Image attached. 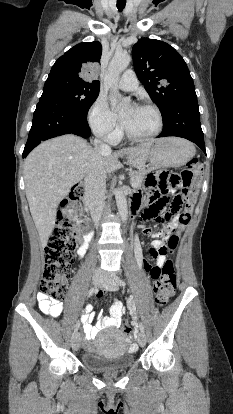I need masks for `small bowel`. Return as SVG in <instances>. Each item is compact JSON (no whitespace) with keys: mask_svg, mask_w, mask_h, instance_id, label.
Wrapping results in <instances>:
<instances>
[{"mask_svg":"<svg viewBox=\"0 0 233 414\" xmlns=\"http://www.w3.org/2000/svg\"><path fill=\"white\" fill-rule=\"evenodd\" d=\"M145 194H146L147 199L150 200L151 194L148 193L147 191L145 192ZM139 203H140V197L135 196V198H134L135 208H137L139 206ZM153 217L154 216H152L149 213L148 209H147L145 211V214H144V219H150V218H153ZM178 223H179V214H177L176 216L173 217L172 221L170 222V224L166 228V231H169L171 228L175 227ZM143 232L145 234L150 233V228L147 227V226H144L143 227ZM90 240H91V234L87 233V234L83 235V237L81 239V242H80V245H79V248H78L79 257L82 258L86 254V251H87L88 244H89ZM157 244H158V242L154 243L153 247L149 250L150 255L153 256ZM156 258H157L156 267L159 268L165 262V255L160 254ZM137 262H138V266H139L140 269H145L148 272H149L150 268L152 267L149 264V262L142 257L140 251L137 253ZM98 296H102V292L98 293ZM37 300H38L39 309L44 314H46L48 316H51V317H58L62 314L63 304L59 300L53 299L50 296H48V295H46L45 293H42V292L37 295ZM134 303H135L134 298H132V297H130L127 301L128 309H129L131 314H133L134 310H136V305ZM124 312H125V305L123 304V302L120 301V300H115L112 307H111L110 314L108 316H103L102 312H100L98 314L97 324H96V326H93L92 325V321L94 319L93 306L91 304H88L85 307V311H84L83 315L81 316V321H82V324H83V331H84L86 340L94 339V337L96 336L98 331L103 329V328L120 327L123 323L122 316H123Z\"/></svg>","mask_w":233,"mask_h":414,"instance_id":"1","label":"small bowel"}]
</instances>
